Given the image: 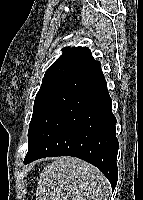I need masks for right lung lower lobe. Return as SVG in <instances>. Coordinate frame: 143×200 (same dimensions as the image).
Returning a JSON list of instances; mask_svg holds the SVG:
<instances>
[{
	"label": "right lung lower lobe",
	"mask_w": 143,
	"mask_h": 200,
	"mask_svg": "<svg viewBox=\"0 0 143 200\" xmlns=\"http://www.w3.org/2000/svg\"><path fill=\"white\" fill-rule=\"evenodd\" d=\"M107 83L96 61L66 77L31 119L24 164L51 156H73L96 166L114 190L119 148Z\"/></svg>",
	"instance_id": "98d812e1"
}]
</instances>
